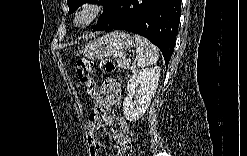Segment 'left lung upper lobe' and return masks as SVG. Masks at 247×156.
<instances>
[{
  "instance_id": "5c2ea615",
  "label": "left lung upper lobe",
  "mask_w": 247,
  "mask_h": 156,
  "mask_svg": "<svg viewBox=\"0 0 247 156\" xmlns=\"http://www.w3.org/2000/svg\"><path fill=\"white\" fill-rule=\"evenodd\" d=\"M90 2L89 0H67V4L69 7V13H73L79 6H81L84 3ZM95 3H101L103 5V14L100 16L99 20L100 21L103 17L107 15L109 10L113 7L115 4L116 0H101V1H94Z\"/></svg>"
}]
</instances>
